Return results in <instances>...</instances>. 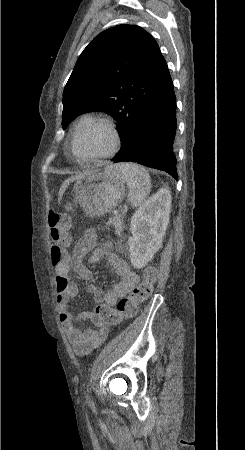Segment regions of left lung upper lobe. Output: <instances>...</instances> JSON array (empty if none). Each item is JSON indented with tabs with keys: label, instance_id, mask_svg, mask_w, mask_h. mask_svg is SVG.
<instances>
[{
	"label": "left lung upper lobe",
	"instance_id": "1",
	"mask_svg": "<svg viewBox=\"0 0 245 450\" xmlns=\"http://www.w3.org/2000/svg\"><path fill=\"white\" fill-rule=\"evenodd\" d=\"M168 66L154 38L136 25L103 31L84 49L63 92L65 129L78 115L104 111L117 122L123 148L141 108Z\"/></svg>",
	"mask_w": 245,
	"mask_h": 450
}]
</instances>
